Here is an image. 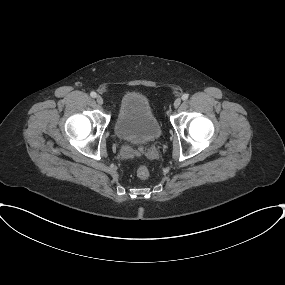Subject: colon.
<instances>
[{
    "instance_id": "5ec220e1",
    "label": "colon",
    "mask_w": 285,
    "mask_h": 285,
    "mask_svg": "<svg viewBox=\"0 0 285 285\" xmlns=\"http://www.w3.org/2000/svg\"><path fill=\"white\" fill-rule=\"evenodd\" d=\"M149 175H150V171L146 166L141 165L137 168V176L139 178L146 179L149 177Z\"/></svg>"
}]
</instances>
